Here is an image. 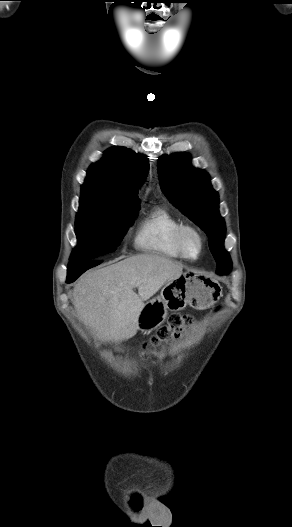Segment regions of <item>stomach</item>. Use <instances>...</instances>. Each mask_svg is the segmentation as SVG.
<instances>
[{
  "label": "stomach",
  "mask_w": 292,
  "mask_h": 527,
  "mask_svg": "<svg viewBox=\"0 0 292 527\" xmlns=\"http://www.w3.org/2000/svg\"><path fill=\"white\" fill-rule=\"evenodd\" d=\"M221 295L222 287L217 280L197 272L184 273L167 282L160 296L145 303L138 318V328L150 332L165 321L168 309L179 311L190 305L203 310L215 304Z\"/></svg>",
  "instance_id": "obj_1"
}]
</instances>
